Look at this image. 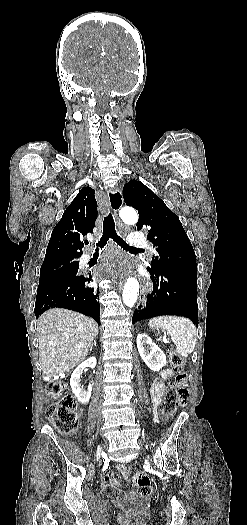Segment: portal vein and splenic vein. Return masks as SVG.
Masks as SVG:
<instances>
[{"label": "portal vein and splenic vein", "instance_id": "portal-vein-and-splenic-vein-1", "mask_svg": "<svg viewBox=\"0 0 247 525\" xmlns=\"http://www.w3.org/2000/svg\"><path fill=\"white\" fill-rule=\"evenodd\" d=\"M163 341H168L167 335H163ZM82 348V345H79V349Z\"/></svg>", "mask_w": 247, "mask_h": 525}]
</instances>
